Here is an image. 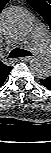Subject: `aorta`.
<instances>
[{
	"instance_id": "1",
	"label": "aorta",
	"mask_w": 51,
	"mask_h": 153,
	"mask_svg": "<svg viewBox=\"0 0 51 153\" xmlns=\"http://www.w3.org/2000/svg\"><path fill=\"white\" fill-rule=\"evenodd\" d=\"M1 25L6 35L24 37L33 27V18L22 7H10L2 12ZM31 72L39 79H46L51 75V61L37 56L30 62Z\"/></svg>"
}]
</instances>
